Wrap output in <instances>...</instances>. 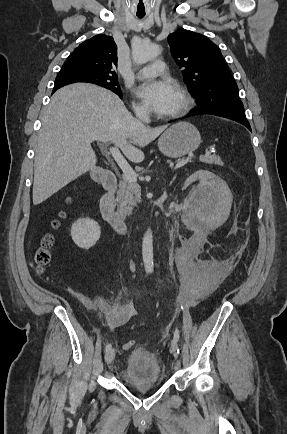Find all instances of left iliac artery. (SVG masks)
I'll use <instances>...</instances> for the list:
<instances>
[{
    "label": "left iliac artery",
    "mask_w": 287,
    "mask_h": 434,
    "mask_svg": "<svg viewBox=\"0 0 287 434\" xmlns=\"http://www.w3.org/2000/svg\"><path fill=\"white\" fill-rule=\"evenodd\" d=\"M184 305H185L184 301H180V306H181L182 309H183ZM179 337H180V332H179L178 329H175V331H174V340L178 342L179 341Z\"/></svg>",
    "instance_id": "obj_1"
}]
</instances>
